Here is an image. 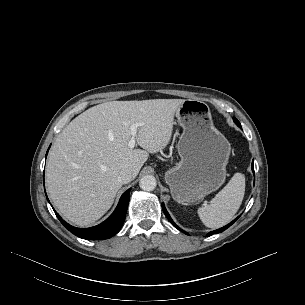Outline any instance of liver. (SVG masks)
<instances>
[{"label": "liver", "mask_w": 305, "mask_h": 305, "mask_svg": "<svg viewBox=\"0 0 305 305\" xmlns=\"http://www.w3.org/2000/svg\"><path fill=\"white\" fill-rule=\"evenodd\" d=\"M184 101H111L73 119L56 138L46 164L47 190L62 216L77 226L101 218L122 187L119 172L130 169L136 177L149 153L168 145ZM134 123L142 124L136 141L144 150L128 147Z\"/></svg>", "instance_id": "liver-1"}]
</instances>
